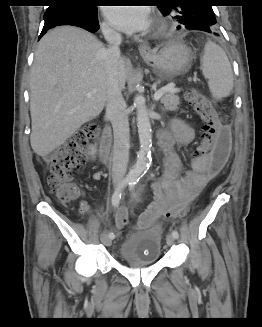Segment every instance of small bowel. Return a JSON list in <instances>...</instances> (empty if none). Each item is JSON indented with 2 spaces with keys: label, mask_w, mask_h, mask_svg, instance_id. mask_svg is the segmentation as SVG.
<instances>
[{
  "label": "small bowel",
  "mask_w": 262,
  "mask_h": 327,
  "mask_svg": "<svg viewBox=\"0 0 262 327\" xmlns=\"http://www.w3.org/2000/svg\"><path fill=\"white\" fill-rule=\"evenodd\" d=\"M195 128L179 119L172 122L169 130H162L158 134V142L164 153V175L151 185L155 194L152 206L140 214L139 228H148L159 217H164L165 212L175 209L180 203H190L203 189L213 172L207 171V158L200 153H192L194 160L192 168L184 170L176 148H185L193 142ZM79 208L83 214L91 212L88 203L81 199Z\"/></svg>",
  "instance_id": "c3829d8e"
}]
</instances>
